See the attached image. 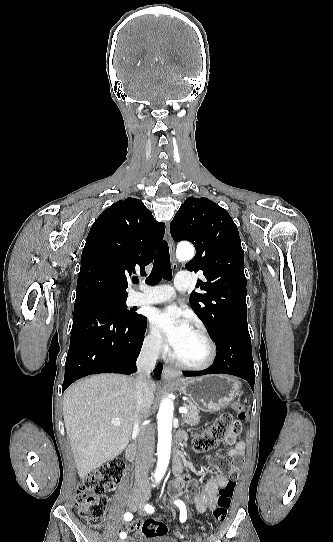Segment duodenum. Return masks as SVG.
<instances>
[{"label": "duodenum", "instance_id": "duodenum-1", "mask_svg": "<svg viewBox=\"0 0 333 542\" xmlns=\"http://www.w3.org/2000/svg\"><path fill=\"white\" fill-rule=\"evenodd\" d=\"M184 439H185L184 435H179L177 437V440H176L177 441V448L175 450V455H174V459H173V472L176 475L180 474L181 471H182V460H181V452H180V449H179V445L181 444V442ZM136 452H137V447H136L135 444H132L127 448L126 456H127V459L130 462L134 461V459L136 457Z\"/></svg>", "mask_w": 333, "mask_h": 542}]
</instances>
